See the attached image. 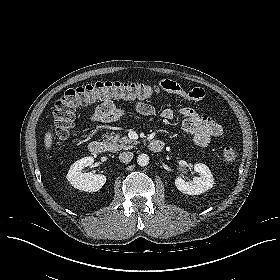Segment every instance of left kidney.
Listing matches in <instances>:
<instances>
[{
  "mask_svg": "<svg viewBox=\"0 0 280 280\" xmlns=\"http://www.w3.org/2000/svg\"><path fill=\"white\" fill-rule=\"evenodd\" d=\"M193 168L199 177H194L192 181L178 177L175 179V186L184 194L200 195L213 187L214 178L208 166L203 163H195Z\"/></svg>",
  "mask_w": 280,
  "mask_h": 280,
  "instance_id": "5707ae66",
  "label": "left kidney"
}]
</instances>
